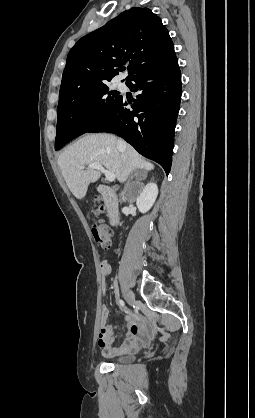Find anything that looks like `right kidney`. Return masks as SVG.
I'll list each match as a JSON object with an SVG mask.
<instances>
[{
    "label": "right kidney",
    "instance_id": "1",
    "mask_svg": "<svg viewBox=\"0 0 255 418\" xmlns=\"http://www.w3.org/2000/svg\"><path fill=\"white\" fill-rule=\"evenodd\" d=\"M158 195V187L155 183H148L138 196L136 204L141 213L148 212L153 206Z\"/></svg>",
    "mask_w": 255,
    "mask_h": 418
}]
</instances>
